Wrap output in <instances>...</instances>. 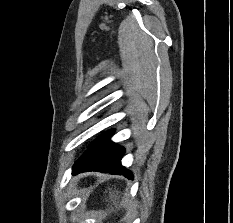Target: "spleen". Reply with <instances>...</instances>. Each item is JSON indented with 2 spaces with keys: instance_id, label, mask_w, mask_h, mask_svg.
<instances>
[{
  "instance_id": "1",
  "label": "spleen",
  "mask_w": 233,
  "mask_h": 223,
  "mask_svg": "<svg viewBox=\"0 0 233 223\" xmlns=\"http://www.w3.org/2000/svg\"><path fill=\"white\" fill-rule=\"evenodd\" d=\"M109 189H110V187H109ZM105 193H107V191H105ZM108 193H109L110 199H112V197H116V199H117L119 191H108ZM113 193H114V195H113Z\"/></svg>"
}]
</instances>
